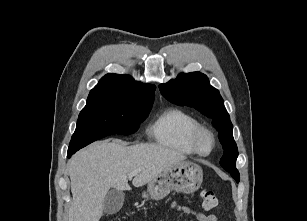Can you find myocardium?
I'll return each instance as SVG.
<instances>
[{
  "instance_id": "f54148a6",
  "label": "myocardium",
  "mask_w": 307,
  "mask_h": 221,
  "mask_svg": "<svg viewBox=\"0 0 307 221\" xmlns=\"http://www.w3.org/2000/svg\"><path fill=\"white\" fill-rule=\"evenodd\" d=\"M204 137L208 138L210 142L209 149L207 150H204L201 146V141ZM190 143L197 154L206 156L214 150L216 139L214 133L208 127L200 125L191 134Z\"/></svg>"
}]
</instances>
